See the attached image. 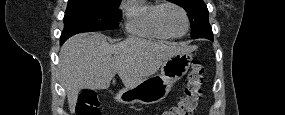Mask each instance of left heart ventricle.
Here are the masks:
<instances>
[{
  "instance_id": "left-heart-ventricle-1",
  "label": "left heart ventricle",
  "mask_w": 285,
  "mask_h": 115,
  "mask_svg": "<svg viewBox=\"0 0 285 115\" xmlns=\"http://www.w3.org/2000/svg\"><path fill=\"white\" fill-rule=\"evenodd\" d=\"M164 22L173 34H181L185 30L183 14L177 8L171 7L164 11Z\"/></svg>"
}]
</instances>
